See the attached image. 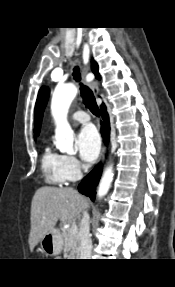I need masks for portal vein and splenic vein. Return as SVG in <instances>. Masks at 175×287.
Wrapping results in <instances>:
<instances>
[{
	"label": "portal vein and splenic vein",
	"instance_id": "obj_1",
	"mask_svg": "<svg viewBox=\"0 0 175 287\" xmlns=\"http://www.w3.org/2000/svg\"><path fill=\"white\" fill-rule=\"evenodd\" d=\"M77 232V226L76 225H72L70 227V233H76Z\"/></svg>",
	"mask_w": 175,
	"mask_h": 287
}]
</instances>
